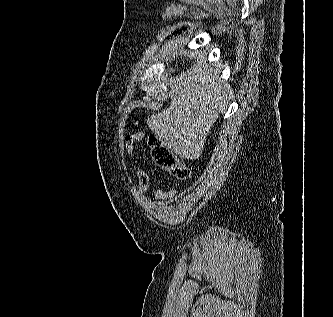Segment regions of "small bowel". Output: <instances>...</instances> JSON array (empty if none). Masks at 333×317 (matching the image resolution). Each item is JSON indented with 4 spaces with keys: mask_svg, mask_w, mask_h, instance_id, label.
I'll return each instance as SVG.
<instances>
[{
    "mask_svg": "<svg viewBox=\"0 0 333 317\" xmlns=\"http://www.w3.org/2000/svg\"><path fill=\"white\" fill-rule=\"evenodd\" d=\"M144 139V134L137 132L126 136L124 145L127 151V154L132 158H135V146L137 143L141 142ZM137 179H138V191L144 193L148 190L150 184V178L146 171L137 167ZM176 195V189L172 187H163L156 191L155 199L160 203H167L171 201Z\"/></svg>",
    "mask_w": 333,
    "mask_h": 317,
    "instance_id": "c3829d8e",
    "label": "small bowel"
}]
</instances>
